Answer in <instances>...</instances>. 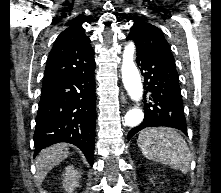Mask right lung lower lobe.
Masks as SVG:
<instances>
[{"label": "right lung lower lobe", "instance_id": "1", "mask_svg": "<svg viewBox=\"0 0 221 193\" xmlns=\"http://www.w3.org/2000/svg\"><path fill=\"white\" fill-rule=\"evenodd\" d=\"M95 62L88 68L43 82L34 133L35 155L68 142L93 165L96 123Z\"/></svg>", "mask_w": 221, "mask_h": 193}]
</instances>
